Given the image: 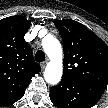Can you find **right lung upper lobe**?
I'll return each instance as SVG.
<instances>
[{"label":"right lung upper lobe","instance_id":"right-lung-upper-lobe-1","mask_svg":"<svg viewBox=\"0 0 108 108\" xmlns=\"http://www.w3.org/2000/svg\"><path fill=\"white\" fill-rule=\"evenodd\" d=\"M29 27L30 21L21 16L0 20V105L19 100L41 70L24 39Z\"/></svg>","mask_w":108,"mask_h":108}]
</instances>
